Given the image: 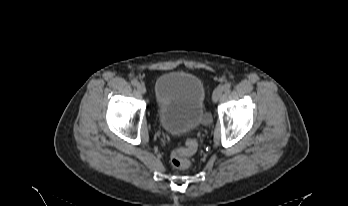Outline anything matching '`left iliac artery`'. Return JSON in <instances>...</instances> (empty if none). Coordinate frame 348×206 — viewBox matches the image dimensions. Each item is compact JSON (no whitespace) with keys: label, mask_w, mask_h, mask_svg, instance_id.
<instances>
[{"label":"left iliac artery","mask_w":348,"mask_h":206,"mask_svg":"<svg viewBox=\"0 0 348 206\" xmlns=\"http://www.w3.org/2000/svg\"><path fill=\"white\" fill-rule=\"evenodd\" d=\"M231 87V84L229 82H226L224 85H223V90L224 91H228Z\"/></svg>","instance_id":"44dca946"}]
</instances>
